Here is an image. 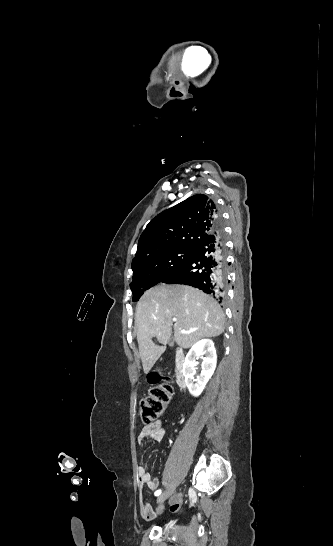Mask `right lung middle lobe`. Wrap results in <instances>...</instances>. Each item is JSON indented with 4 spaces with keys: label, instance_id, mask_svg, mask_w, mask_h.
<instances>
[{
    "label": "right lung middle lobe",
    "instance_id": "1",
    "mask_svg": "<svg viewBox=\"0 0 333 546\" xmlns=\"http://www.w3.org/2000/svg\"><path fill=\"white\" fill-rule=\"evenodd\" d=\"M193 252V247H180L164 251L149 259L133 271L130 284L133 301H137L144 290L164 280L178 266L185 262Z\"/></svg>",
    "mask_w": 333,
    "mask_h": 546
}]
</instances>
